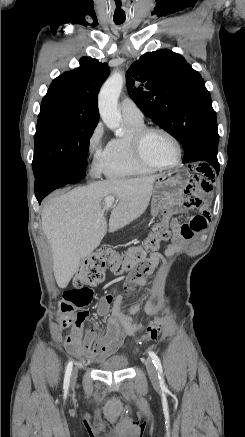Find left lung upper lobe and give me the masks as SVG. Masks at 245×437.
<instances>
[{
    "mask_svg": "<svg viewBox=\"0 0 245 437\" xmlns=\"http://www.w3.org/2000/svg\"><path fill=\"white\" fill-rule=\"evenodd\" d=\"M126 84L140 110L182 143L184 163L213 166L219 142L216 113L204 80L183 56L167 49L145 53L128 69Z\"/></svg>",
    "mask_w": 245,
    "mask_h": 437,
    "instance_id": "obj_1",
    "label": "left lung upper lobe"
}]
</instances>
